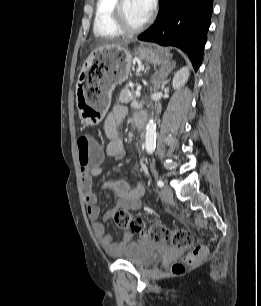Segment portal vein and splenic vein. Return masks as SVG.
<instances>
[{"instance_id":"obj_1","label":"portal vein and splenic vein","mask_w":261,"mask_h":306,"mask_svg":"<svg viewBox=\"0 0 261 306\" xmlns=\"http://www.w3.org/2000/svg\"><path fill=\"white\" fill-rule=\"evenodd\" d=\"M140 90H141V86L138 85V86H137V91H136V93H135V97L133 98V102L131 103V106H132V107H136L137 104H138L137 101H136V98L140 96Z\"/></svg>"}]
</instances>
